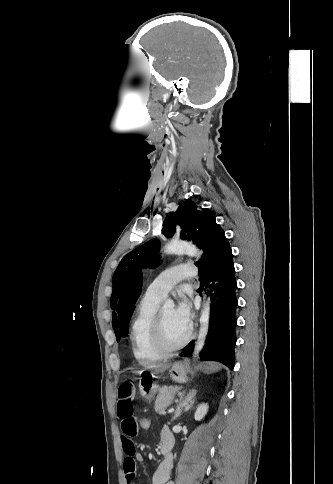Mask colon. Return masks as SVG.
Segmentation results:
<instances>
[{"label": "colon", "instance_id": "5ec220e1", "mask_svg": "<svg viewBox=\"0 0 333 484\" xmlns=\"http://www.w3.org/2000/svg\"><path fill=\"white\" fill-rule=\"evenodd\" d=\"M137 424L140 432H146L151 428L152 420L148 416H140L137 419Z\"/></svg>", "mask_w": 333, "mask_h": 484}]
</instances>
